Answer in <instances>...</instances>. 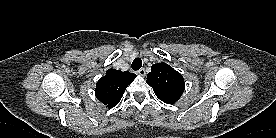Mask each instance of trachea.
Returning <instances> with one entry per match:
<instances>
[{
    "label": "trachea",
    "instance_id": "obj_1",
    "mask_svg": "<svg viewBox=\"0 0 276 138\" xmlns=\"http://www.w3.org/2000/svg\"><path fill=\"white\" fill-rule=\"evenodd\" d=\"M131 67L134 71L139 70L142 67V60L140 58L134 59V61L132 62Z\"/></svg>",
    "mask_w": 276,
    "mask_h": 138
}]
</instances>
